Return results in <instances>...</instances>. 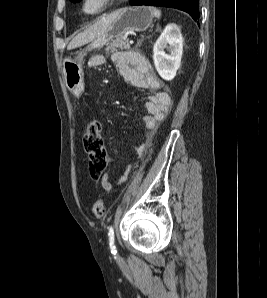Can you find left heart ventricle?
Listing matches in <instances>:
<instances>
[{"mask_svg": "<svg viewBox=\"0 0 267 298\" xmlns=\"http://www.w3.org/2000/svg\"><path fill=\"white\" fill-rule=\"evenodd\" d=\"M102 3V0H89L88 4H87V9L89 11H93L95 9H97Z\"/></svg>", "mask_w": 267, "mask_h": 298, "instance_id": "left-heart-ventricle-1", "label": "left heart ventricle"}]
</instances>
